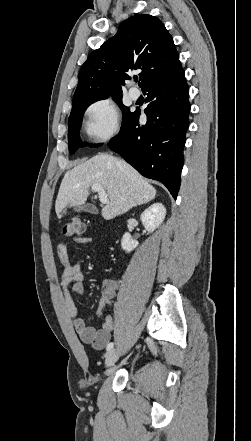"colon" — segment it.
<instances>
[{"instance_id":"colon-1","label":"colon","mask_w":251,"mask_h":441,"mask_svg":"<svg viewBox=\"0 0 251 441\" xmlns=\"http://www.w3.org/2000/svg\"><path fill=\"white\" fill-rule=\"evenodd\" d=\"M85 231V224L78 217L71 218L61 228V234L65 237H80Z\"/></svg>"}]
</instances>
